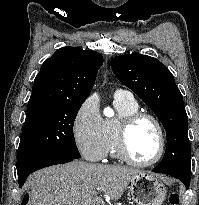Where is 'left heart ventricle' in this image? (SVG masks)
Returning <instances> with one entry per match:
<instances>
[{
    "label": "left heart ventricle",
    "instance_id": "left-heart-ventricle-1",
    "mask_svg": "<svg viewBox=\"0 0 199 205\" xmlns=\"http://www.w3.org/2000/svg\"><path fill=\"white\" fill-rule=\"evenodd\" d=\"M130 155L140 162L153 159L159 149V134L149 120L138 121L129 131L127 140Z\"/></svg>",
    "mask_w": 199,
    "mask_h": 205
}]
</instances>
